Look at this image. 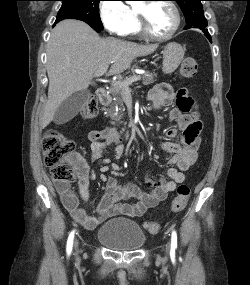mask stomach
Here are the masks:
<instances>
[{
  "label": "stomach",
  "mask_w": 250,
  "mask_h": 285,
  "mask_svg": "<svg viewBox=\"0 0 250 285\" xmlns=\"http://www.w3.org/2000/svg\"><path fill=\"white\" fill-rule=\"evenodd\" d=\"M162 54V71L164 74H172L182 62L185 49L176 42H170L164 47Z\"/></svg>",
  "instance_id": "stomach-1"
}]
</instances>
